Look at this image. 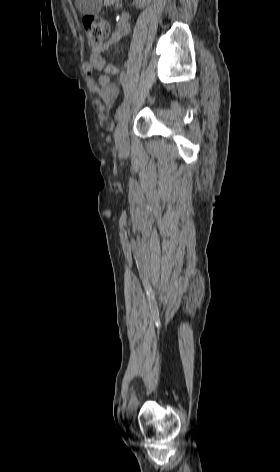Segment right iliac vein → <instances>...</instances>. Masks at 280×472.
Masks as SVG:
<instances>
[{"mask_svg":"<svg viewBox=\"0 0 280 472\" xmlns=\"http://www.w3.org/2000/svg\"><path fill=\"white\" fill-rule=\"evenodd\" d=\"M130 115V107H127L122 113L115 131L116 145L123 156L129 153L128 123Z\"/></svg>","mask_w":280,"mask_h":472,"instance_id":"63e3f726","label":"right iliac vein"}]
</instances>
